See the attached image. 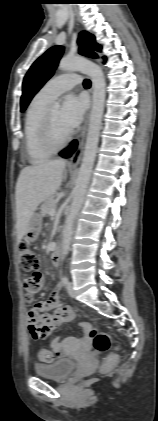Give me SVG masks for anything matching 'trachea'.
I'll return each instance as SVG.
<instances>
[{"mask_svg": "<svg viewBox=\"0 0 158 421\" xmlns=\"http://www.w3.org/2000/svg\"><path fill=\"white\" fill-rule=\"evenodd\" d=\"M83 85H84L85 87H90V85H91L90 80H89V79H85V80H84V82H83Z\"/></svg>", "mask_w": 158, "mask_h": 421, "instance_id": "obj_1", "label": "trachea"}]
</instances>
